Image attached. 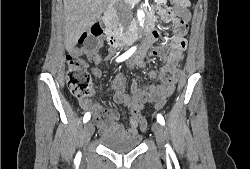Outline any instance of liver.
<instances>
[{
    "instance_id": "1",
    "label": "liver",
    "mask_w": 250,
    "mask_h": 169,
    "mask_svg": "<svg viewBox=\"0 0 250 169\" xmlns=\"http://www.w3.org/2000/svg\"><path fill=\"white\" fill-rule=\"evenodd\" d=\"M109 0H63L65 16V44L71 50L82 32L96 22Z\"/></svg>"
}]
</instances>
